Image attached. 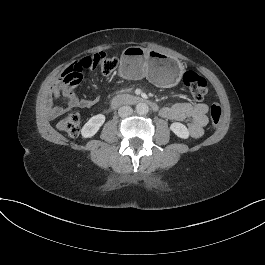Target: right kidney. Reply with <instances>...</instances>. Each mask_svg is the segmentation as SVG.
<instances>
[{"mask_svg": "<svg viewBox=\"0 0 265 265\" xmlns=\"http://www.w3.org/2000/svg\"><path fill=\"white\" fill-rule=\"evenodd\" d=\"M106 117L104 114H97L91 117L81 129V137L84 139L94 137L104 125Z\"/></svg>", "mask_w": 265, "mask_h": 265, "instance_id": "1", "label": "right kidney"}]
</instances>
